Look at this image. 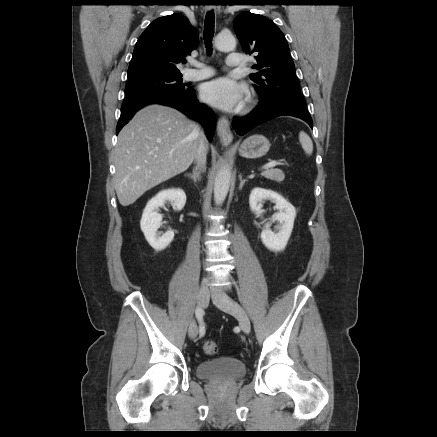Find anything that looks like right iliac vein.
I'll list each match as a JSON object with an SVG mask.
<instances>
[{
    "instance_id": "obj_1",
    "label": "right iliac vein",
    "mask_w": 437,
    "mask_h": 437,
    "mask_svg": "<svg viewBox=\"0 0 437 437\" xmlns=\"http://www.w3.org/2000/svg\"><path fill=\"white\" fill-rule=\"evenodd\" d=\"M210 291L207 287H201L197 296V305L199 308H206L209 303ZM188 335L191 339H195L198 335V326L195 321L190 323Z\"/></svg>"
}]
</instances>
